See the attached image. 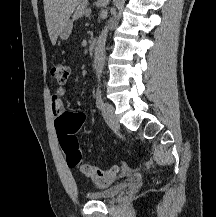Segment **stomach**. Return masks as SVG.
I'll return each instance as SVG.
<instances>
[{"label":"stomach","instance_id":"0dacf381","mask_svg":"<svg viewBox=\"0 0 216 217\" xmlns=\"http://www.w3.org/2000/svg\"><path fill=\"white\" fill-rule=\"evenodd\" d=\"M73 28V23L71 20H68L62 27L59 32V36L62 40H67L71 34Z\"/></svg>","mask_w":216,"mask_h":217}]
</instances>
